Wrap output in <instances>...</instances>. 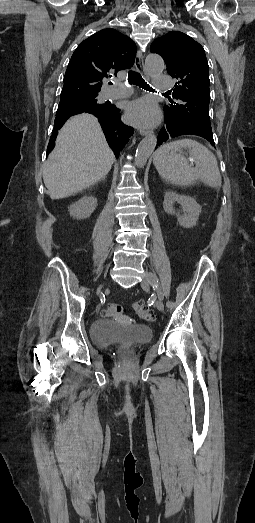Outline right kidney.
I'll list each match as a JSON object with an SVG mask.
<instances>
[{
	"label": "right kidney",
	"mask_w": 255,
	"mask_h": 523,
	"mask_svg": "<svg viewBox=\"0 0 255 523\" xmlns=\"http://www.w3.org/2000/svg\"><path fill=\"white\" fill-rule=\"evenodd\" d=\"M96 206L97 198H94V196H83L78 202L71 204L69 208L70 216L77 218V220H84V218L91 216Z\"/></svg>",
	"instance_id": "1"
}]
</instances>
